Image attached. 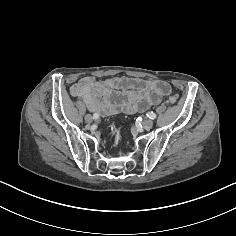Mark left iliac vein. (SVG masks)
<instances>
[{
    "mask_svg": "<svg viewBox=\"0 0 236 236\" xmlns=\"http://www.w3.org/2000/svg\"><path fill=\"white\" fill-rule=\"evenodd\" d=\"M142 124L145 129H150L153 126V121L151 119H146Z\"/></svg>",
    "mask_w": 236,
    "mask_h": 236,
    "instance_id": "1",
    "label": "left iliac vein"
}]
</instances>
